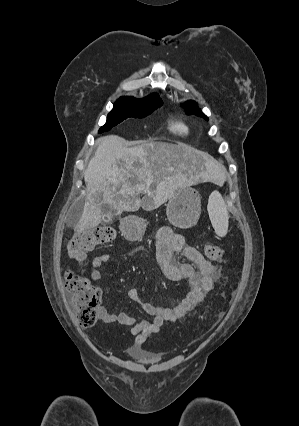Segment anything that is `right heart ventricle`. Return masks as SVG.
I'll return each mask as SVG.
<instances>
[{
    "instance_id": "right-heart-ventricle-1",
    "label": "right heart ventricle",
    "mask_w": 299,
    "mask_h": 426,
    "mask_svg": "<svg viewBox=\"0 0 299 426\" xmlns=\"http://www.w3.org/2000/svg\"><path fill=\"white\" fill-rule=\"evenodd\" d=\"M171 130L178 134H187L188 127L182 121H176L171 124Z\"/></svg>"
}]
</instances>
